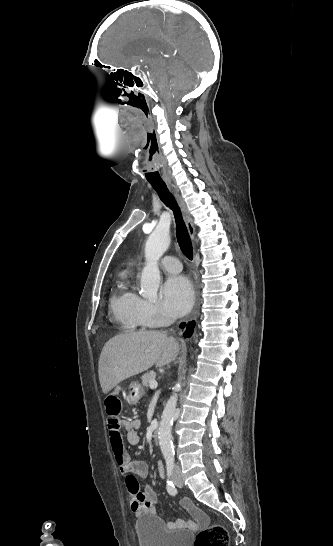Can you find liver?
Returning a JSON list of instances; mask_svg holds the SVG:
<instances>
[{
  "label": "liver",
  "instance_id": "obj_1",
  "mask_svg": "<svg viewBox=\"0 0 333 546\" xmlns=\"http://www.w3.org/2000/svg\"><path fill=\"white\" fill-rule=\"evenodd\" d=\"M179 345L173 337L159 331H140L118 335L103 347L99 358V380L104 394L121 381L155 365L174 361Z\"/></svg>",
  "mask_w": 333,
  "mask_h": 546
}]
</instances>
